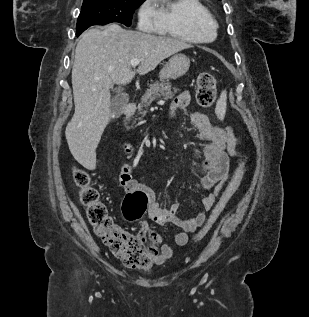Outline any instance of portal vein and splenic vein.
Here are the masks:
<instances>
[{
  "instance_id": "portal-vein-and-splenic-vein-1",
  "label": "portal vein and splenic vein",
  "mask_w": 309,
  "mask_h": 317,
  "mask_svg": "<svg viewBox=\"0 0 309 317\" xmlns=\"http://www.w3.org/2000/svg\"><path fill=\"white\" fill-rule=\"evenodd\" d=\"M139 63H140V60H139V59H132V60H131V65H132L133 67H136Z\"/></svg>"
}]
</instances>
